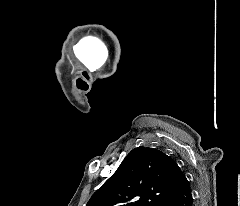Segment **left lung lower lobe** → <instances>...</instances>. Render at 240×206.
<instances>
[{"label":"left lung lower lobe","mask_w":240,"mask_h":206,"mask_svg":"<svg viewBox=\"0 0 240 206\" xmlns=\"http://www.w3.org/2000/svg\"><path fill=\"white\" fill-rule=\"evenodd\" d=\"M163 206H193L190 183L181 169L177 182Z\"/></svg>","instance_id":"left-lung-lower-lobe-1"}]
</instances>
